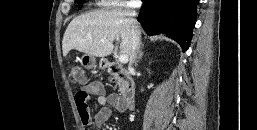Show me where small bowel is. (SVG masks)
Returning <instances> with one entry per match:
<instances>
[{
	"label": "small bowel",
	"instance_id": "small-bowel-1",
	"mask_svg": "<svg viewBox=\"0 0 257 130\" xmlns=\"http://www.w3.org/2000/svg\"><path fill=\"white\" fill-rule=\"evenodd\" d=\"M91 96H96L98 103L102 105L93 117L90 115L88 106ZM74 100L84 130L101 128L111 116L110 107L119 111L124 110L121 95L107 94L103 84L97 81L86 83L75 93Z\"/></svg>",
	"mask_w": 257,
	"mask_h": 130
}]
</instances>
